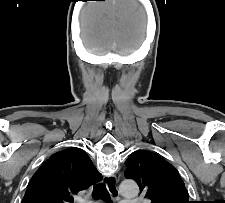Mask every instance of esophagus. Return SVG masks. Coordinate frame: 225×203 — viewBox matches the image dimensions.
<instances>
[{"label": "esophagus", "instance_id": "obj_1", "mask_svg": "<svg viewBox=\"0 0 225 203\" xmlns=\"http://www.w3.org/2000/svg\"><path fill=\"white\" fill-rule=\"evenodd\" d=\"M106 186L108 188V190L110 191V193L113 196L118 197L119 196V191L117 188V184H118V179L115 175L109 176L106 180H105Z\"/></svg>", "mask_w": 225, "mask_h": 203}]
</instances>
